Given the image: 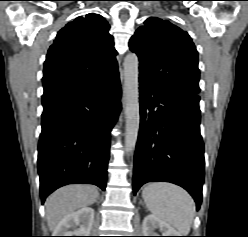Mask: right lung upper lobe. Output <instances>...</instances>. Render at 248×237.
<instances>
[{
	"label": "right lung upper lobe",
	"instance_id": "1",
	"mask_svg": "<svg viewBox=\"0 0 248 237\" xmlns=\"http://www.w3.org/2000/svg\"><path fill=\"white\" fill-rule=\"evenodd\" d=\"M109 29L107 21L94 13L62 28L46 56L43 95L83 86L118 70Z\"/></svg>",
	"mask_w": 248,
	"mask_h": 237
}]
</instances>
